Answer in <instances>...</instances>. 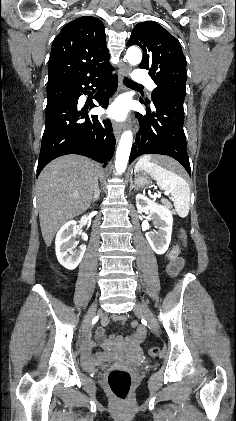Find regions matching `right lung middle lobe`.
I'll list each match as a JSON object with an SVG mask.
<instances>
[{"label":"right lung middle lobe","instance_id":"right-lung-middle-lobe-1","mask_svg":"<svg viewBox=\"0 0 236 421\" xmlns=\"http://www.w3.org/2000/svg\"><path fill=\"white\" fill-rule=\"evenodd\" d=\"M47 104L70 98L67 90L60 86H47Z\"/></svg>","mask_w":236,"mask_h":421}]
</instances>
